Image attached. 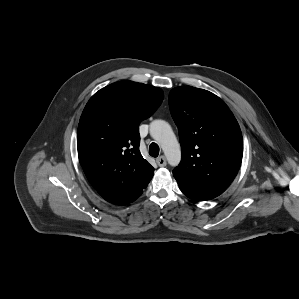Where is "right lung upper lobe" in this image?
I'll list each match as a JSON object with an SVG mask.
<instances>
[{
    "instance_id": "1",
    "label": "right lung upper lobe",
    "mask_w": 299,
    "mask_h": 299,
    "mask_svg": "<svg viewBox=\"0 0 299 299\" xmlns=\"http://www.w3.org/2000/svg\"><path fill=\"white\" fill-rule=\"evenodd\" d=\"M160 88L120 81L96 92L77 131L79 162L94 189L108 202L126 205L147 187L154 168L139 151V124L163 101Z\"/></svg>"
}]
</instances>
